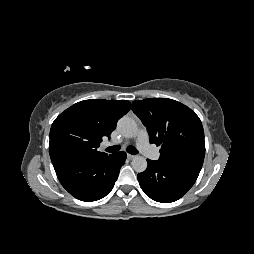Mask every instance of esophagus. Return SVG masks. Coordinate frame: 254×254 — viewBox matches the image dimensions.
<instances>
[{
  "mask_svg": "<svg viewBox=\"0 0 254 254\" xmlns=\"http://www.w3.org/2000/svg\"><path fill=\"white\" fill-rule=\"evenodd\" d=\"M134 157H135V155L127 154V158H128L129 160L133 159Z\"/></svg>",
  "mask_w": 254,
  "mask_h": 254,
  "instance_id": "esophagus-1",
  "label": "esophagus"
}]
</instances>
